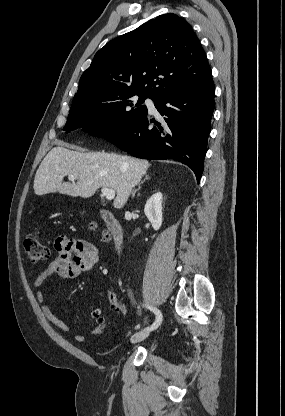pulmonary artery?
<instances>
[{"mask_svg": "<svg viewBox=\"0 0 285 416\" xmlns=\"http://www.w3.org/2000/svg\"><path fill=\"white\" fill-rule=\"evenodd\" d=\"M146 103H147V105H148L150 108H153V107H154V105H153V103H152V101H151V100H147V101H146Z\"/></svg>", "mask_w": 285, "mask_h": 416, "instance_id": "e3ab8cb5", "label": "pulmonary artery"}]
</instances>
